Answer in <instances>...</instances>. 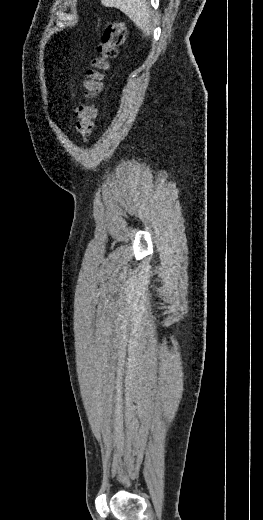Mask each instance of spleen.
<instances>
[{
  "mask_svg": "<svg viewBox=\"0 0 263 520\" xmlns=\"http://www.w3.org/2000/svg\"><path fill=\"white\" fill-rule=\"evenodd\" d=\"M106 7H115L126 14L145 35L151 33V9L146 0H101Z\"/></svg>",
  "mask_w": 263,
  "mask_h": 520,
  "instance_id": "obj_1",
  "label": "spleen"
}]
</instances>
